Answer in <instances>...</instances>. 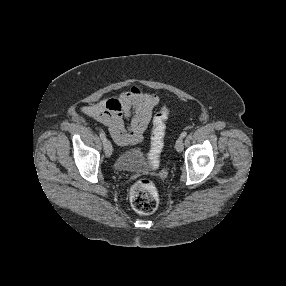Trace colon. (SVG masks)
<instances>
[{
  "label": "colon",
  "instance_id": "obj_1",
  "mask_svg": "<svg viewBox=\"0 0 286 286\" xmlns=\"http://www.w3.org/2000/svg\"><path fill=\"white\" fill-rule=\"evenodd\" d=\"M170 115V109L163 106L154 116L151 146L148 157L157 166L164 146L166 121ZM159 203V194L154 183L149 179H140L132 186L130 191V204L140 214H150L156 210Z\"/></svg>",
  "mask_w": 286,
  "mask_h": 286
}]
</instances>
